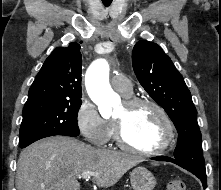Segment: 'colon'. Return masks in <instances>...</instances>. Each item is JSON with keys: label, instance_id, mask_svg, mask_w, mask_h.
<instances>
[{"label": "colon", "instance_id": "colon-1", "mask_svg": "<svg viewBox=\"0 0 221 190\" xmlns=\"http://www.w3.org/2000/svg\"><path fill=\"white\" fill-rule=\"evenodd\" d=\"M167 190H186V183L183 180H173L168 183Z\"/></svg>", "mask_w": 221, "mask_h": 190}]
</instances>
